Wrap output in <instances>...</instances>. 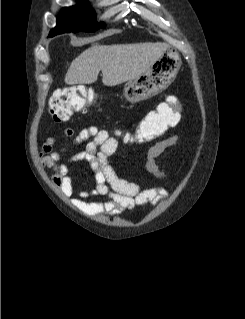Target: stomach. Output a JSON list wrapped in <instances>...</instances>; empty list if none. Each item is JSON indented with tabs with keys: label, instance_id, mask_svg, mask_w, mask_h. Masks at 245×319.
<instances>
[{
	"label": "stomach",
	"instance_id": "1",
	"mask_svg": "<svg viewBox=\"0 0 245 319\" xmlns=\"http://www.w3.org/2000/svg\"><path fill=\"white\" fill-rule=\"evenodd\" d=\"M180 66L179 55L166 51L143 74L126 82L123 97L130 103H137L161 93L175 79Z\"/></svg>",
	"mask_w": 245,
	"mask_h": 319
}]
</instances>
